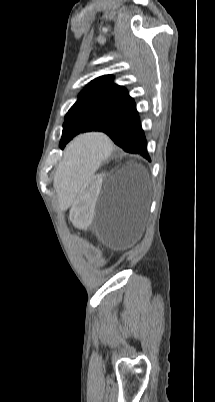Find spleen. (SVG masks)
<instances>
[{
    "instance_id": "obj_1",
    "label": "spleen",
    "mask_w": 215,
    "mask_h": 402,
    "mask_svg": "<svg viewBox=\"0 0 215 402\" xmlns=\"http://www.w3.org/2000/svg\"><path fill=\"white\" fill-rule=\"evenodd\" d=\"M108 133L93 129L91 133H75L67 159L61 160L60 169H53L58 179L56 197L62 198L60 208L72 204L74 193H80L86 182H94L98 166L110 154Z\"/></svg>"
}]
</instances>
